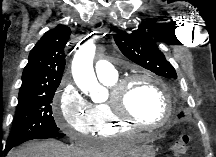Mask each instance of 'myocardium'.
<instances>
[{
	"label": "myocardium",
	"instance_id": "1",
	"mask_svg": "<svg viewBox=\"0 0 216 157\" xmlns=\"http://www.w3.org/2000/svg\"><path fill=\"white\" fill-rule=\"evenodd\" d=\"M137 80H146L154 84L161 94L165 102V116L158 123L146 122L136 118L128 109V93L132 83ZM109 104L112 108L114 116L128 124L140 128H161L167 125L172 117V101L170 93L165 84L147 73H135L118 80L110 90Z\"/></svg>",
	"mask_w": 216,
	"mask_h": 157
}]
</instances>
